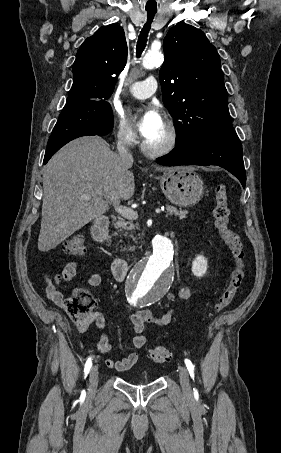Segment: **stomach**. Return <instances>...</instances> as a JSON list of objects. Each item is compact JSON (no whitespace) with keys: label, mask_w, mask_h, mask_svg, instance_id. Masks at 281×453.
I'll list each match as a JSON object with an SVG mask.
<instances>
[{"label":"stomach","mask_w":281,"mask_h":453,"mask_svg":"<svg viewBox=\"0 0 281 453\" xmlns=\"http://www.w3.org/2000/svg\"><path fill=\"white\" fill-rule=\"evenodd\" d=\"M160 186L168 200L178 206H192L204 194V182L192 166H173L164 170Z\"/></svg>","instance_id":"1"}]
</instances>
